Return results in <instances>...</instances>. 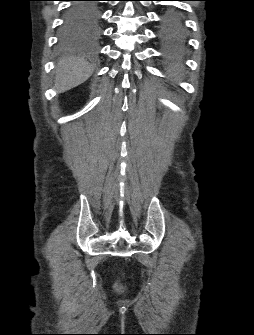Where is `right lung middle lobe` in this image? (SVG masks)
<instances>
[{
  "label": "right lung middle lobe",
  "mask_w": 254,
  "mask_h": 335,
  "mask_svg": "<svg viewBox=\"0 0 254 335\" xmlns=\"http://www.w3.org/2000/svg\"><path fill=\"white\" fill-rule=\"evenodd\" d=\"M88 6L98 9V4L96 2H88ZM99 10V9H98ZM70 15L74 16V13H70ZM100 16V13H99ZM66 17V16H65ZM65 22V20H64ZM99 33V26L98 23L90 30H85L82 28L80 22H76L72 25H64L61 30V37L64 40H70L78 36H84V35H97Z\"/></svg>",
  "instance_id": "dd1d6c3e"
}]
</instances>
